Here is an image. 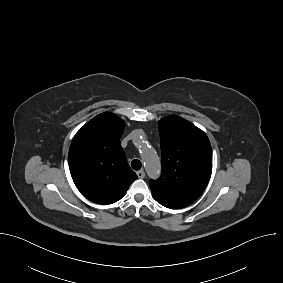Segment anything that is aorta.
Segmentation results:
<instances>
[{
    "label": "aorta",
    "instance_id": "aorta-1",
    "mask_svg": "<svg viewBox=\"0 0 283 283\" xmlns=\"http://www.w3.org/2000/svg\"><path fill=\"white\" fill-rule=\"evenodd\" d=\"M143 149L142 159L145 163L147 174L150 178L156 179L160 175V162L157 154L151 149L141 143Z\"/></svg>",
    "mask_w": 283,
    "mask_h": 283
}]
</instances>
